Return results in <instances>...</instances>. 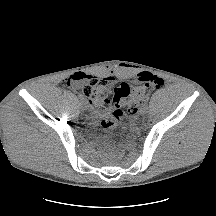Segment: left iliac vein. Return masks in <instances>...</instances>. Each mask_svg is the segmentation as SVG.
Returning a JSON list of instances; mask_svg holds the SVG:
<instances>
[{
    "instance_id": "left-iliac-vein-1",
    "label": "left iliac vein",
    "mask_w": 216,
    "mask_h": 216,
    "mask_svg": "<svg viewBox=\"0 0 216 216\" xmlns=\"http://www.w3.org/2000/svg\"><path fill=\"white\" fill-rule=\"evenodd\" d=\"M148 111V106L147 105H143L141 108H140V114L141 115H145Z\"/></svg>"
}]
</instances>
